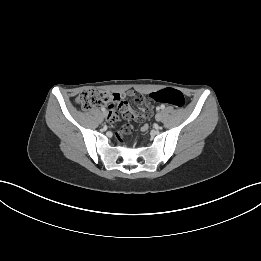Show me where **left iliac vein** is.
I'll return each mask as SVG.
<instances>
[{
    "instance_id": "1",
    "label": "left iliac vein",
    "mask_w": 261,
    "mask_h": 261,
    "mask_svg": "<svg viewBox=\"0 0 261 261\" xmlns=\"http://www.w3.org/2000/svg\"><path fill=\"white\" fill-rule=\"evenodd\" d=\"M162 117H163L162 112H158V113L156 114V116H155V118H156L157 121H161V120H162Z\"/></svg>"
}]
</instances>
